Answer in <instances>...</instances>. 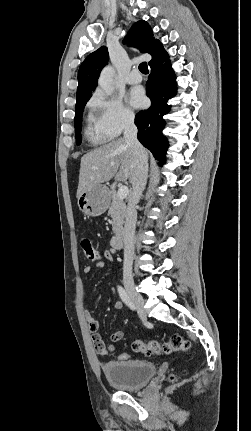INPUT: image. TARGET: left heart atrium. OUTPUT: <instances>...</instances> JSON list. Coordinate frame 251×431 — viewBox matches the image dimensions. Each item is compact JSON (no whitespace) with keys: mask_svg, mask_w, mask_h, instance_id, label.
Here are the masks:
<instances>
[{"mask_svg":"<svg viewBox=\"0 0 251 431\" xmlns=\"http://www.w3.org/2000/svg\"><path fill=\"white\" fill-rule=\"evenodd\" d=\"M128 100H129V103L135 108H141L146 103V98L144 96V93L140 89L131 90Z\"/></svg>","mask_w":251,"mask_h":431,"instance_id":"39dd6f15","label":"left heart atrium"}]
</instances>
